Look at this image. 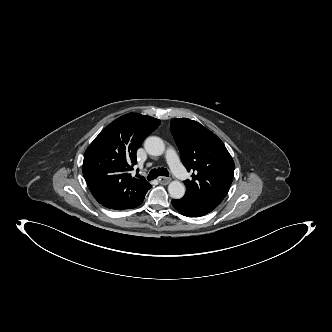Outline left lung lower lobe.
Returning <instances> with one entry per match:
<instances>
[{
	"label": "left lung lower lobe",
	"instance_id": "obj_1",
	"mask_svg": "<svg viewBox=\"0 0 332 332\" xmlns=\"http://www.w3.org/2000/svg\"><path fill=\"white\" fill-rule=\"evenodd\" d=\"M172 205L179 213L187 217L204 216L214 210L186 195L179 200L173 199Z\"/></svg>",
	"mask_w": 332,
	"mask_h": 332
}]
</instances>
